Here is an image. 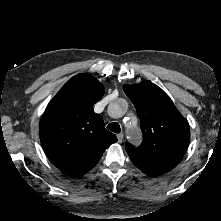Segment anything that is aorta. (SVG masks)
I'll use <instances>...</instances> for the list:
<instances>
[{"label": "aorta", "mask_w": 221, "mask_h": 221, "mask_svg": "<svg viewBox=\"0 0 221 221\" xmlns=\"http://www.w3.org/2000/svg\"><path fill=\"white\" fill-rule=\"evenodd\" d=\"M129 123H130L129 121L125 122V126L128 129V131H129L130 140L131 141H135L136 140V132H137L138 128H137V126H135L133 128H130V124Z\"/></svg>", "instance_id": "obj_1"}]
</instances>
